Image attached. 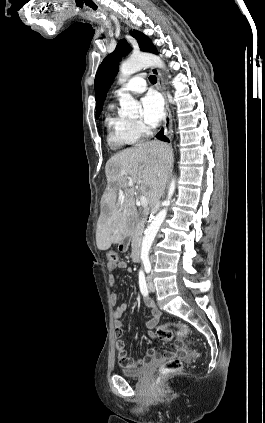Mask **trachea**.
I'll use <instances>...</instances> for the list:
<instances>
[{"label":"trachea","instance_id":"3493384b","mask_svg":"<svg viewBox=\"0 0 265 423\" xmlns=\"http://www.w3.org/2000/svg\"><path fill=\"white\" fill-rule=\"evenodd\" d=\"M149 81H150L152 84H155V83L157 82V78H156V76H155V75H151V76L149 77Z\"/></svg>","mask_w":265,"mask_h":423}]
</instances>
